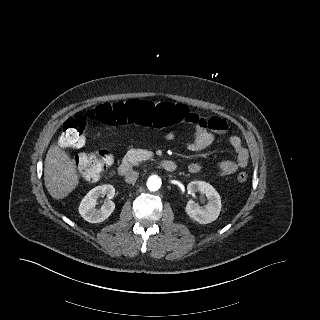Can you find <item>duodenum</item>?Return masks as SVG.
Instances as JSON below:
<instances>
[{
	"mask_svg": "<svg viewBox=\"0 0 320 320\" xmlns=\"http://www.w3.org/2000/svg\"><path fill=\"white\" fill-rule=\"evenodd\" d=\"M159 167L161 169H163L166 172H174L177 168V165L174 161L172 160H162L159 162ZM132 169V165L131 163H129L128 161H123L121 162V164L118 167V173L121 176H124L126 174H128Z\"/></svg>",
	"mask_w": 320,
	"mask_h": 320,
	"instance_id": "obj_1",
	"label": "duodenum"
}]
</instances>
